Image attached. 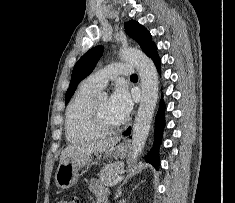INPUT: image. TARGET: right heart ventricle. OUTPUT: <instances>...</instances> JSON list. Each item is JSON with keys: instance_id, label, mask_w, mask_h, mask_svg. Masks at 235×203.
<instances>
[{"instance_id": "1", "label": "right heart ventricle", "mask_w": 235, "mask_h": 203, "mask_svg": "<svg viewBox=\"0 0 235 203\" xmlns=\"http://www.w3.org/2000/svg\"><path fill=\"white\" fill-rule=\"evenodd\" d=\"M99 90L84 81L72 97L65 119V135L70 143H82L100 138L91 122V104Z\"/></svg>"}]
</instances>
